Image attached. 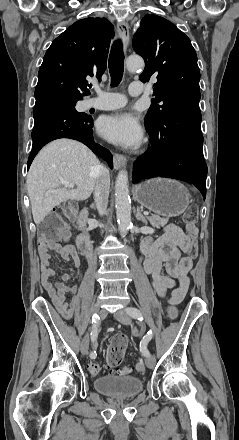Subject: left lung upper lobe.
Listing matches in <instances>:
<instances>
[{
  "label": "left lung upper lobe",
  "mask_w": 239,
  "mask_h": 440,
  "mask_svg": "<svg viewBox=\"0 0 239 440\" xmlns=\"http://www.w3.org/2000/svg\"><path fill=\"white\" fill-rule=\"evenodd\" d=\"M133 48L145 61L140 80L146 82L157 74L153 89L156 100L145 117L146 126L160 124L163 115L177 107H199L197 55L182 31L165 18L147 14L134 35Z\"/></svg>",
  "instance_id": "left-lung-upper-lobe-1"
}]
</instances>
